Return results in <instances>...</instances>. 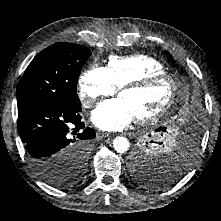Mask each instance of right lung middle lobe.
Here are the masks:
<instances>
[{"label": "right lung middle lobe", "instance_id": "obj_1", "mask_svg": "<svg viewBox=\"0 0 221 221\" xmlns=\"http://www.w3.org/2000/svg\"><path fill=\"white\" fill-rule=\"evenodd\" d=\"M90 55L84 47L66 42L44 49L31 61L18 85V108L40 100L81 106L77 81ZM90 144V141L77 144L65 155L61 165H51L38 176L56 187L77 183L83 177Z\"/></svg>", "mask_w": 221, "mask_h": 221}]
</instances>
